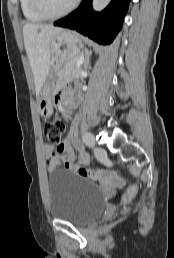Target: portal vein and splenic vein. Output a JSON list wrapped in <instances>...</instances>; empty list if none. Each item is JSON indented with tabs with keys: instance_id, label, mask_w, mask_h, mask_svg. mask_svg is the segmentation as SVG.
Returning a JSON list of instances; mask_svg holds the SVG:
<instances>
[{
	"instance_id": "1",
	"label": "portal vein and splenic vein",
	"mask_w": 174,
	"mask_h": 258,
	"mask_svg": "<svg viewBox=\"0 0 174 258\" xmlns=\"http://www.w3.org/2000/svg\"><path fill=\"white\" fill-rule=\"evenodd\" d=\"M84 62V58H80L79 61L77 62V66H81Z\"/></svg>"
}]
</instances>
